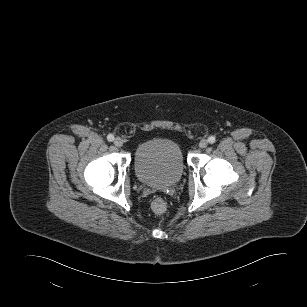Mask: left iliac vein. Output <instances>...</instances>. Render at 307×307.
Returning a JSON list of instances; mask_svg holds the SVG:
<instances>
[{"instance_id": "obj_1", "label": "left iliac vein", "mask_w": 307, "mask_h": 307, "mask_svg": "<svg viewBox=\"0 0 307 307\" xmlns=\"http://www.w3.org/2000/svg\"><path fill=\"white\" fill-rule=\"evenodd\" d=\"M208 145V141L206 139H202L200 142H199V147L200 148H206Z\"/></svg>"}]
</instances>
